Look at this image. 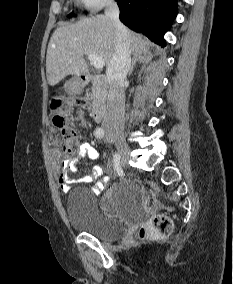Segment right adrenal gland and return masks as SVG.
Here are the masks:
<instances>
[{
	"mask_svg": "<svg viewBox=\"0 0 233 284\" xmlns=\"http://www.w3.org/2000/svg\"><path fill=\"white\" fill-rule=\"evenodd\" d=\"M143 61H144V57H143L142 55L134 56L133 61H132V65H131L130 70H129V75L132 74L133 69H134L136 63H137V62H138V63H141V62H143Z\"/></svg>",
	"mask_w": 233,
	"mask_h": 284,
	"instance_id": "1",
	"label": "right adrenal gland"
}]
</instances>
